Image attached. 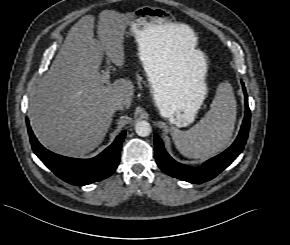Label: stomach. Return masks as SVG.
<instances>
[{"label":"stomach","mask_w":290,"mask_h":245,"mask_svg":"<svg viewBox=\"0 0 290 245\" xmlns=\"http://www.w3.org/2000/svg\"><path fill=\"white\" fill-rule=\"evenodd\" d=\"M167 12L155 7L138 10L130 21L131 32L138 44V53L150 91L160 114L177 127L194 122L207 95V66L204 56L196 53L187 67L179 63L166 38Z\"/></svg>","instance_id":"stomach-1"}]
</instances>
